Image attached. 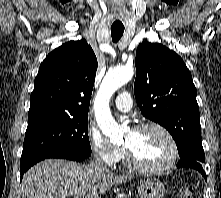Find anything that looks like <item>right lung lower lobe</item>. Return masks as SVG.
Here are the masks:
<instances>
[{
	"instance_id": "right-lung-lower-lobe-1",
	"label": "right lung lower lobe",
	"mask_w": 221,
	"mask_h": 198,
	"mask_svg": "<svg viewBox=\"0 0 221 198\" xmlns=\"http://www.w3.org/2000/svg\"><path fill=\"white\" fill-rule=\"evenodd\" d=\"M48 158H61V159H69L73 161H83L87 158V156L73 152V151H67V150H52L47 151L44 153H41L29 161L21 164V179L23 177V174L34 164L38 163L39 161H42L44 159Z\"/></svg>"
}]
</instances>
